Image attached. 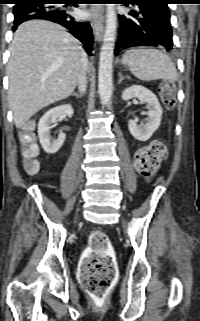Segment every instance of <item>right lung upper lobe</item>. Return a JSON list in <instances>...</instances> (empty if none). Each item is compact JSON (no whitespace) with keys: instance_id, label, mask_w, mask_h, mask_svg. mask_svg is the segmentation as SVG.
Masks as SVG:
<instances>
[{"instance_id":"1","label":"right lung upper lobe","mask_w":200,"mask_h":321,"mask_svg":"<svg viewBox=\"0 0 200 321\" xmlns=\"http://www.w3.org/2000/svg\"><path fill=\"white\" fill-rule=\"evenodd\" d=\"M14 1H15V4H18V3L23 2L25 0H14Z\"/></svg>"}]
</instances>
